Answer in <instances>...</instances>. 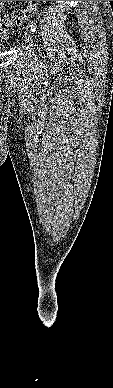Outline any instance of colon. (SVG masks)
<instances>
[{
	"instance_id": "1",
	"label": "colon",
	"mask_w": 113,
	"mask_h": 388,
	"mask_svg": "<svg viewBox=\"0 0 113 388\" xmlns=\"http://www.w3.org/2000/svg\"><path fill=\"white\" fill-rule=\"evenodd\" d=\"M38 4L39 1H30V5L19 13L11 16H4L0 19V28L7 29L10 27L21 25L29 17L31 12Z\"/></svg>"
}]
</instances>
